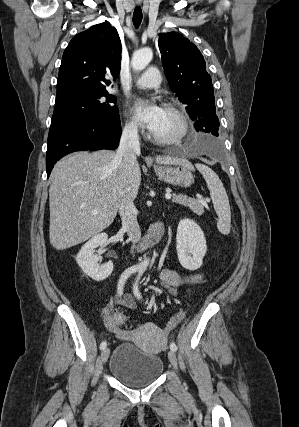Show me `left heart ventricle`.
Here are the masks:
<instances>
[{
	"mask_svg": "<svg viewBox=\"0 0 299 427\" xmlns=\"http://www.w3.org/2000/svg\"><path fill=\"white\" fill-rule=\"evenodd\" d=\"M179 129L178 121L174 115L166 110H163L158 126L153 131V134L158 136H171Z\"/></svg>",
	"mask_w": 299,
	"mask_h": 427,
	"instance_id": "b2bd125f",
	"label": "left heart ventricle"
}]
</instances>
